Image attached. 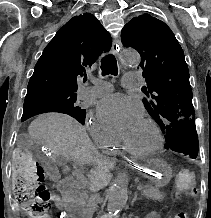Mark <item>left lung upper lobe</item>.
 <instances>
[{
    "mask_svg": "<svg viewBox=\"0 0 211 218\" xmlns=\"http://www.w3.org/2000/svg\"><path fill=\"white\" fill-rule=\"evenodd\" d=\"M125 47L136 49L149 98L142 101L164 134L165 148L196 158L198 136L189 70L184 53L174 33L161 20L142 14L122 29Z\"/></svg>",
    "mask_w": 211,
    "mask_h": 218,
    "instance_id": "5c2ea615",
    "label": "left lung upper lobe"
}]
</instances>
